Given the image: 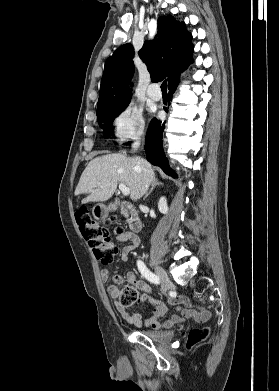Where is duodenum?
Returning a JSON list of instances; mask_svg holds the SVG:
<instances>
[{
    "label": "duodenum",
    "mask_w": 279,
    "mask_h": 391,
    "mask_svg": "<svg viewBox=\"0 0 279 391\" xmlns=\"http://www.w3.org/2000/svg\"><path fill=\"white\" fill-rule=\"evenodd\" d=\"M121 213L126 217L131 231L136 234L142 228L141 220L135 210V208L128 202H121L118 206Z\"/></svg>",
    "instance_id": "410a0bca"
}]
</instances>
